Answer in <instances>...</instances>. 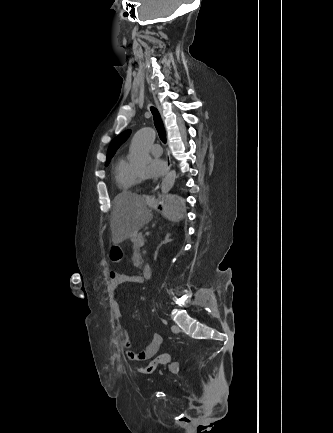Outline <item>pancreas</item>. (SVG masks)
<instances>
[{
    "mask_svg": "<svg viewBox=\"0 0 333 433\" xmlns=\"http://www.w3.org/2000/svg\"><path fill=\"white\" fill-rule=\"evenodd\" d=\"M143 239V234L142 233H140V234H138V235H136V236H133L132 238H131V241H132V243H133V250H134V252H138L139 251V248H140V240H142Z\"/></svg>",
    "mask_w": 333,
    "mask_h": 433,
    "instance_id": "cf45deb5",
    "label": "pancreas"
}]
</instances>
